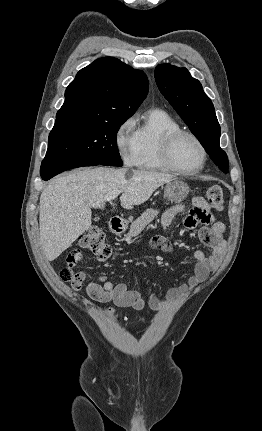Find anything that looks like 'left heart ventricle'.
<instances>
[{"instance_id": "1", "label": "left heart ventricle", "mask_w": 262, "mask_h": 431, "mask_svg": "<svg viewBox=\"0 0 262 431\" xmlns=\"http://www.w3.org/2000/svg\"><path fill=\"white\" fill-rule=\"evenodd\" d=\"M173 156L176 163L187 171L195 170L202 162V153L199 146L186 136L176 141Z\"/></svg>"}]
</instances>
